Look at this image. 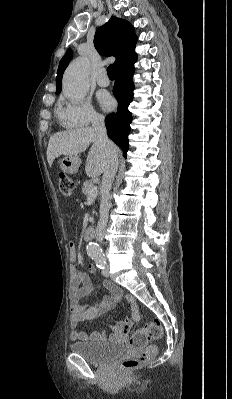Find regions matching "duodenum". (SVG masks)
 <instances>
[{
  "label": "duodenum",
  "instance_id": "obj_1",
  "mask_svg": "<svg viewBox=\"0 0 232 399\" xmlns=\"http://www.w3.org/2000/svg\"><path fill=\"white\" fill-rule=\"evenodd\" d=\"M86 240L91 241L95 237V229L93 227H86L84 230Z\"/></svg>",
  "mask_w": 232,
  "mask_h": 399
}]
</instances>
